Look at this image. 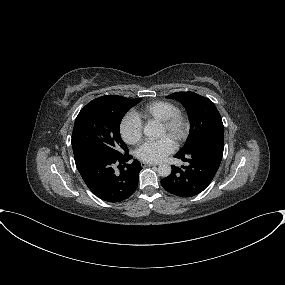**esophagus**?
<instances>
[{"label": "esophagus", "instance_id": "esophagus-1", "mask_svg": "<svg viewBox=\"0 0 285 285\" xmlns=\"http://www.w3.org/2000/svg\"><path fill=\"white\" fill-rule=\"evenodd\" d=\"M142 167H150V166H156V164H153V163H145V162H142L141 163Z\"/></svg>", "mask_w": 285, "mask_h": 285}]
</instances>
